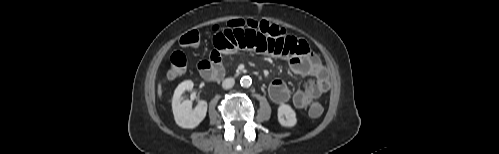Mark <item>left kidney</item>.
<instances>
[{
	"mask_svg": "<svg viewBox=\"0 0 499 154\" xmlns=\"http://www.w3.org/2000/svg\"><path fill=\"white\" fill-rule=\"evenodd\" d=\"M278 121L284 127H293L296 125V113L290 105L281 104L278 107Z\"/></svg>",
	"mask_w": 499,
	"mask_h": 154,
	"instance_id": "5707ae66",
	"label": "left kidney"
}]
</instances>
